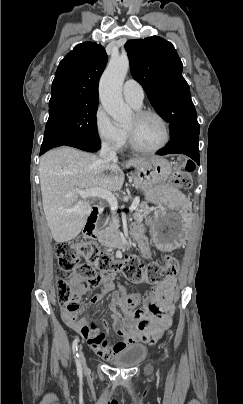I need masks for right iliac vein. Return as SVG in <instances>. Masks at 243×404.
<instances>
[{
    "mask_svg": "<svg viewBox=\"0 0 243 404\" xmlns=\"http://www.w3.org/2000/svg\"><path fill=\"white\" fill-rule=\"evenodd\" d=\"M78 352H79V359H80V362H81V364L83 366V369H86V359H85L84 353L82 351V346L81 345L78 348Z\"/></svg>",
    "mask_w": 243,
    "mask_h": 404,
    "instance_id": "1",
    "label": "right iliac vein"
}]
</instances>
